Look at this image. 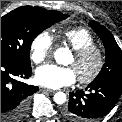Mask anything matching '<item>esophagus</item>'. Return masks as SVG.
<instances>
[{
	"instance_id": "obj_1",
	"label": "esophagus",
	"mask_w": 122,
	"mask_h": 122,
	"mask_svg": "<svg viewBox=\"0 0 122 122\" xmlns=\"http://www.w3.org/2000/svg\"><path fill=\"white\" fill-rule=\"evenodd\" d=\"M40 90L43 91V92H49V93H54L55 92L54 90L49 89V88H45V87H41Z\"/></svg>"
}]
</instances>
